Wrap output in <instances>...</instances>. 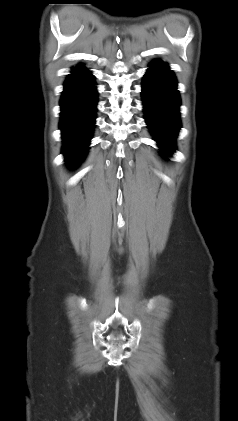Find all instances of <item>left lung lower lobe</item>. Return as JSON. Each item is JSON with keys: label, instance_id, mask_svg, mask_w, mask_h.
I'll list each match as a JSON object with an SVG mask.
<instances>
[{"label": "left lung lower lobe", "instance_id": "1", "mask_svg": "<svg viewBox=\"0 0 238 421\" xmlns=\"http://www.w3.org/2000/svg\"><path fill=\"white\" fill-rule=\"evenodd\" d=\"M176 83L172 71L160 60L151 63L142 83L145 119L155 141L167 154L175 149V138L181 126Z\"/></svg>", "mask_w": 238, "mask_h": 421}]
</instances>
